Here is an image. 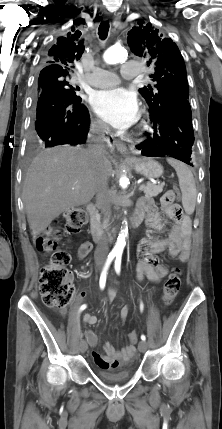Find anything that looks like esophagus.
<instances>
[{"instance_id":"obj_1","label":"esophagus","mask_w":222,"mask_h":429,"mask_svg":"<svg viewBox=\"0 0 222 429\" xmlns=\"http://www.w3.org/2000/svg\"><path fill=\"white\" fill-rule=\"evenodd\" d=\"M116 17L117 18H119L120 17V14L118 13L117 15H116ZM104 19H107V17H105ZM114 144H115V146H116V148H117V150L122 154V155H124V156H128V149H127V147H126V145L122 142V141H119V140H114Z\"/></svg>"}]
</instances>
